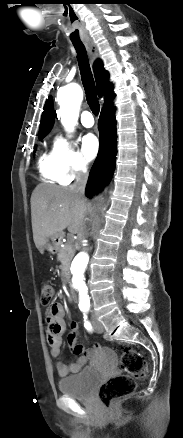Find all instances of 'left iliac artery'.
Segmentation results:
<instances>
[{
  "mask_svg": "<svg viewBox=\"0 0 183 438\" xmlns=\"http://www.w3.org/2000/svg\"><path fill=\"white\" fill-rule=\"evenodd\" d=\"M80 310L83 311V312H86V311L89 310V307L81 308Z\"/></svg>",
  "mask_w": 183,
  "mask_h": 438,
  "instance_id": "44dca946",
  "label": "left iliac artery"
}]
</instances>
